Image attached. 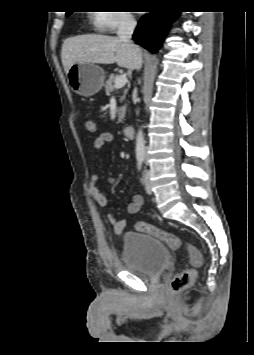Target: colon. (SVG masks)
I'll use <instances>...</instances> for the list:
<instances>
[{
    "mask_svg": "<svg viewBox=\"0 0 254 355\" xmlns=\"http://www.w3.org/2000/svg\"><path fill=\"white\" fill-rule=\"evenodd\" d=\"M85 128L90 134L97 132V124L92 119L86 120ZM135 227L138 232L158 238L173 250L185 249L187 251L192 267L174 275L170 287L174 292H181L190 288L197 276V268L203 264V256L200 251L178 235L162 230L152 224L139 221L135 224Z\"/></svg>",
    "mask_w": 254,
    "mask_h": 355,
    "instance_id": "5ec220e1",
    "label": "colon"
}]
</instances>
